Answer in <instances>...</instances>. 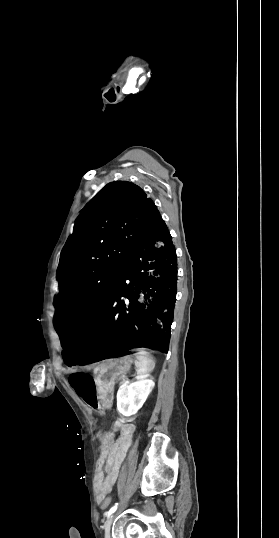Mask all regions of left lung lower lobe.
I'll return each instance as SVG.
<instances>
[{"label": "left lung lower lobe", "instance_id": "obj_1", "mask_svg": "<svg viewBox=\"0 0 279 538\" xmlns=\"http://www.w3.org/2000/svg\"><path fill=\"white\" fill-rule=\"evenodd\" d=\"M176 284L175 247L160 216L130 255L92 325L60 335L64 362L86 365L139 347L167 353Z\"/></svg>", "mask_w": 279, "mask_h": 538}]
</instances>
